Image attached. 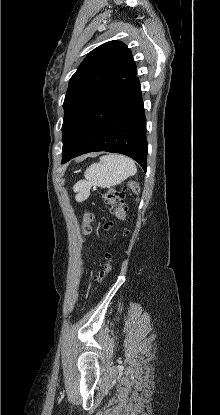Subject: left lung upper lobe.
Listing matches in <instances>:
<instances>
[{
	"label": "left lung upper lobe",
	"instance_id": "1",
	"mask_svg": "<svg viewBox=\"0 0 220 415\" xmlns=\"http://www.w3.org/2000/svg\"><path fill=\"white\" fill-rule=\"evenodd\" d=\"M136 74L132 53L120 41L106 42L86 56L69 81L63 104V152L70 147L83 118L102 92L113 81Z\"/></svg>",
	"mask_w": 220,
	"mask_h": 415
}]
</instances>
